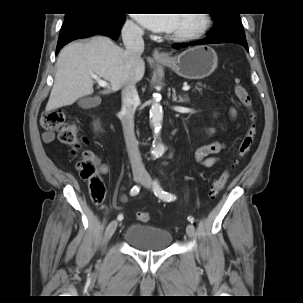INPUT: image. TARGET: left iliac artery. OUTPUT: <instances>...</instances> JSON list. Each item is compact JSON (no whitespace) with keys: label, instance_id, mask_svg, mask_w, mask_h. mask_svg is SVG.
I'll return each mask as SVG.
<instances>
[{"label":"left iliac artery","instance_id":"left-iliac-artery-1","mask_svg":"<svg viewBox=\"0 0 303 303\" xmlns=\"http://www.w3.org/2000/svg\"><path fill=\"white\" fill-rule=\"evenodd\" d=\"M154 193L156 196L160 197L163 200H167V201H171V200H175L176 197L170 193H167L165 191L162 190V188L159 185L158 180L154 181ZM188 221L193 223L194 222V218L192 216L188 217Z\"/></svg>","mask_w":303,"mask_h":303}]
</instances>
